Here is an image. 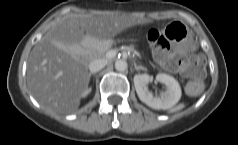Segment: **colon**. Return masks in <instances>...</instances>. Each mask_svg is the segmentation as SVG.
Listing matches in <instances>:
<instances>
[{
	"mask_svg": "<svg viewBox=\"0 0 238 145\" xmlns=\"http://www.w3.org/2000/svg\"><path fill=\"white\" fill-rule=\"evenodd\" d=\"M156 60L170 71L180 72L192 78L187 85L189 94H199L203 88L205 60L201 56H182L170 53V44L157 30L148 33Z\"/></svg>",
	"mask_w": 238,
	"mask_h": 145,
	"instance_id": "5ec220e1",
	"label": "colon"
}]
</instances>
